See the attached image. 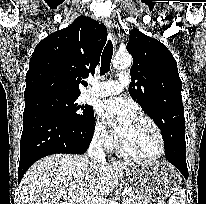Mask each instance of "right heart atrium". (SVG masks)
Listing matches in <instances>:
<instances>
[{
  "label": "right heart atrium",
  "mask_w": 206,
  "mask_h": 204,
  "mask_svg": "<svg viewBox=\"0 0 206 204\" xmlns=\"http://www.w3.org/2000/svg\"><path fill=\"white\" fill-rule=\"evenodd\" d=\"M94 137L100 144L108 149L113 148L116 144L115 135L102 121L96 122Z\"/></svg>",
  "instance_id": "d8ad5b80"
}]
</instances>
